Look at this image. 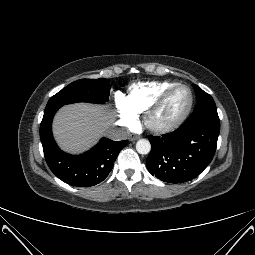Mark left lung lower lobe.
<instances>
[{
	"mask_svg": "<svg viewBox=\"0 0 255 255\" xmlns=\"http://www.w3.org/2000/svg\"><path fill=\"white\" fill-rule=\"evenodd\" d=\"M220 124L182 125L162 136H148L152 150L149 172L164 182L183 183L197 177L211 162Z\"/></svg>",
	"mask_w": 255,
	"mask_h": 255,
	"instance_id": "left-lung-lower-lobe-1",
	"label": "left lung lower lobe"
}]
</instances>
